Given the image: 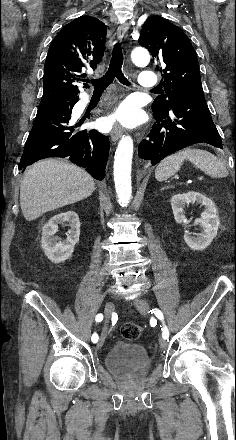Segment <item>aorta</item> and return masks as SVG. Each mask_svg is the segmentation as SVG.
<instances>
[{"label": "aorta", "mask_w": 236, "mask_h": 440, "mask_svg": "<svg viewBox=\"0 0 236 440\" xmlns=\"http://www.w3.org/2000/svg\"><path fill=\"white\" fill-rule=\"evenodd\" d=\"M131 59L136 66H146L150 55L145 48L136 47L131 52ZM133 157V140L123 136L118 143L114 157V182L118 201L126 207L132 198L131 166Z\"/></svg>", "instance_id": "1"}]
</instances>
